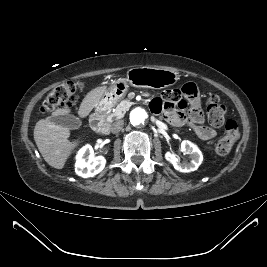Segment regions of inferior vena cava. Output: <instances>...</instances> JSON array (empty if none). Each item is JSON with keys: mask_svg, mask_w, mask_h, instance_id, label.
Segmentation results:
<instances>
[{"mask_svg": "<svg viewBox=\"0 0 267 267\" xmlns=\"http://www.w3.org/2000/svg\"><path fill=\"white\" fill-rule=\"evenodd\" d=\"M123 125H124L123 120H118V121L114 122L111 125V132L112 133H119L123 129Z\"/></svg>", "mask_w": 267, "mask_h": 267, "instance_id": "obj_1", "label": "inferior vena cava"}]
</instances>
